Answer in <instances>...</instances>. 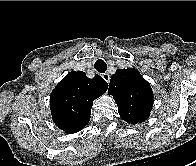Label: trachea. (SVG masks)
<instances>
[{
	"instance_id": "3493384b",
	"label": "trachea",
	"mask_w": 196,
	"mask_h": 166,
	"mask_svg": "<svg viewBox=\"0 0 196 166\" xmlns=\"http://www.w3.org/2000/svg\"><path fill=\"white\" fill-rule=\"evenodd\" d=\"M94 67L100 73H105V71L107 70V65H106L105 61L102 59L97 60L95 62Z\"/></svg>"
}]
</instances>
